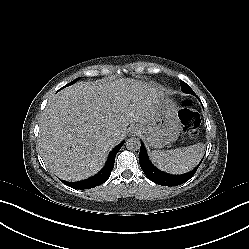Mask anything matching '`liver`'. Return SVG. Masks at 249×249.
<instances>
[{"instance_id":"obj_1","label":"liver","mask_w":249,"mask_h":249,"mask_svg":"<svg viewBox=\"0 0 249 249\" xmlns=\"http://www.w3.org/2000/svg\"><path fill=\"white\" fill-rule=\"evenodd\" d=\"M159 93L156 85L133 79L73 85L47 106L40 121L37 145L44 163L75 181L95 175L129 124L153 120Z\"/></svg>"}]
</instances>
